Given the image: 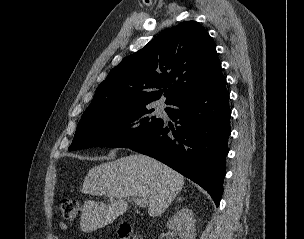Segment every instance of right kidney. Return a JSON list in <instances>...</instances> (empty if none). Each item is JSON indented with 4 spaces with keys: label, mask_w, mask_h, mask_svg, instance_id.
Returning a JSON list of instances; mask_svg holds the SVG:
<instances>
[{
    "label": "right kidney",
    "mask_w": 304,
    "mask_h": 239,
    "mask_svg": "<svg viewBox=\"0 0 304 239\" xmlns=\"http://www.w3.org/2000/svg\"><path fill=\"white\" fill-rule=\"evenodd\" d=\"M167 228L180 239H195V220L189 208L177 211L167 222Z\"/></svg>",
    "instance_id": "ca27d5eb"
}]
</instances>
